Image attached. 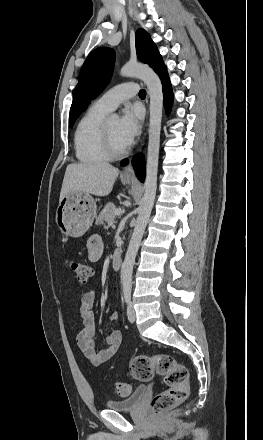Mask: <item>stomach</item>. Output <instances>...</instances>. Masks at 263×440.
I'll list each match as a JSON object with an SVG mask.
<instances>
[{
    "label": "stomach",
    "mask_w": 263,
    "mask_h": 440,
    "mask_svg": "<svg viewBox=\"0 0 263 440\" xmlns=\"http://www.w3.org/2000/svg\"><path fill=\"white\" fill-rule=\"evenodd\" d=\"M95 216L94 198L90 194L73 192L60 199L56 210V223L63 234L76 238L85 234Z\"/></svg>",
    "instance_id": "obj_1"
}]
</instances>
